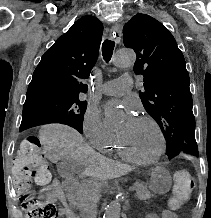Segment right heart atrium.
I'll list each match as a JSON object with an SVG mask.
<instances>
[{"instance_id":"obj_1","label":"right heart atrium","mask_w":211,"mask_h":218,"mask_svg":"<svg viewBox=\"0 0 211 218\" xmlns=\"http://www.w3.org/2000/svg\"><path fill=\"white\" fill-rule=\"evenodd\" d=\"M82 128L90 143L97 149L115 139V135L106 127L95 110L87 109L85 111Z\"/></svg>"}]
</instances>
